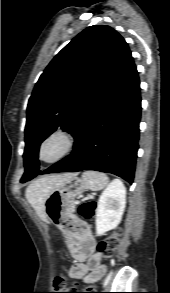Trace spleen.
<instances>
[{
	"mask_svg": "<svg viewBox=\"0 0 170 293\" xmlns=\"http://www.w3.org/2000/svg\"><path fill=\"white\" fill-rule=\"evenodd\" d=\"M82 181L88 189L92 191H99L108 185L109 179L104 173L97 171H85L82 174Z\"/></svg>",
	"mask_w": 170,
	"mask_h": 293,
	"instance_id": "3e777b00",
	"label": "spleen"
}]
</instances>
